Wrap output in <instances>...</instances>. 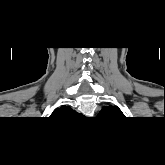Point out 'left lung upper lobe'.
Returning <instances> with one entry per match:
<instances>
[{
	"label": "left lung upper lobe",
	"instance_id": "obj_1",
	"mask_svg": "<svg viewBox=\"0 0 165 165\" xmlns=\"http://www.w3.org/2000/svg\"><path fill=\"white\" fill-rule=\"evenodd\" d=\"M100 113L103 114H112L116 116H121L123 113L117 106H108V107H103ZM124 116V115H123Z\"/></svg>",
	"mask_w": 165,
	"mask_h": 165
}]
</instances>
